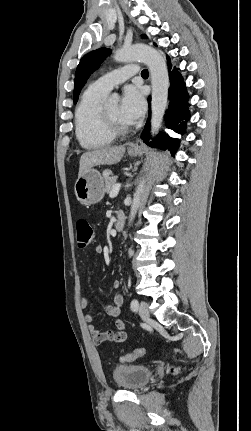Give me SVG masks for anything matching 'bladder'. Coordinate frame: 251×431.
<instances>
[{
  "mask_svg": "<svg viewBox=\"0 0 251 431\" xmlns=\"http://www.w3.org/2000/svg\"><path fill=\"white\" fill-rule=\"evenodd\" d=\"M112 375L118 387L136 390L149 382L152 371L150 368L139 364H122L113 369Z\"/></svg>",
  "mask_w": 251,
  "mask_h": 431,
  "instance_id": "1",
  "label": "bladder"
}]
</instances>
